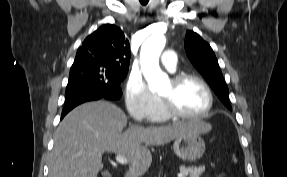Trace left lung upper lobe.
Here are the masks:
<instances>
[{
    "mask_svg": "<svg viewBox=\"0 0 287 177\" xmlns=\"http://www.w3.org/2000/svg\"><path fill=\"white\" fill-rule=\"evenodd\" d=\"M185 49L188 58L209 83L222 103L231 110L228 87L223 78L216 56L210 45L193 31H187Z\"/></svg>",
    "mask_w": 287,
    "mask_h": 177,
    "instance_id": "1",
    "label": "left lung upper lobe"
}]
</instances>
